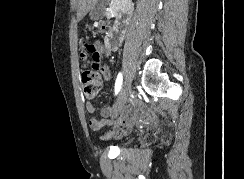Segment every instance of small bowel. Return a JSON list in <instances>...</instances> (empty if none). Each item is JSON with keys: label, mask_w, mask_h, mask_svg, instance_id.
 <instances>
[{"label": "small bowel", "mask_w": 244, "mask_h": 179, "mask_svg": "<svg viewBox=\"0 0 244 179\" xmlns=\"http://www.w3.org/2000/svg\"><path fill=\"white\" fill-rule=\"evenodd\" d=\"M85 49L87 52L96 60L99 58H109L115 49H117V45L111 47L106 43L102 42L99 39L94 40L92 43H85ZM101 74L102 78L105 81L111 79V67L109 64L101 65ZM86 111L88 113H95V106L91 103H87L85 105ZM117 113V111L113 108L104 107L101 111L103 118L101 119H92L90 121V126L94 130H99L102 127H110L111 131L106 135V137L110 138L113 136L121 135L125 133L131 123L136 120L139 111H133L131 109L124 110L121 113V116L118 120H113L112 117Z\"/></svg>", "instance_id": "c3829d8e"}]
</instances>
